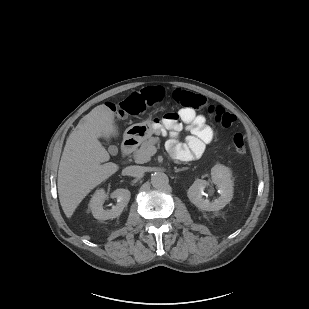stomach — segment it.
Here are the masks:
<instances>
[{"label": "stomach", "instance_id": "obj_1", "mask_svg": "<svg viewBox=\"0 0 309 309\" xmlns=\"http://www.w3.org/2000/svg\"><path fill=\"white\" fill-rule=\"evenodd\" d=\"M154 133L151 120L142 123L133 124L128 127L124 133V137L134 139L138 142L144 141Z\"/></svg>", "mask_w": 309, "mask_h": 309}]
</instances>
